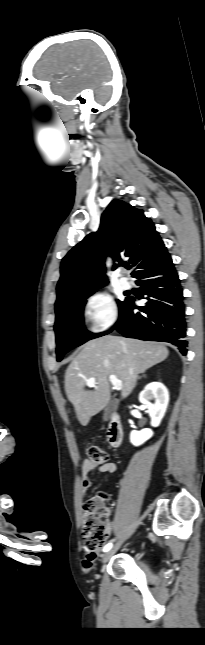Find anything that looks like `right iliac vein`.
Segmentation results:
<instances>
[{
    "label": "right iliac vein",
    "instance_id": "1",
    "mask_svg": "<svg viewBox=\"0 0 205 645\" xmlns=\"http://www.w3.org/2000/svg\"><path fill=\"white\" fill-rule=\"evenodd\" d=\"M121 545V542L118 543L116 546H114L112 549L108 550L101 558L102 563H106L114 554L115 552L119 549Z\"/></svg>",
    "mask_w": 205,
    "mask_h": 645
}]
</instances>
